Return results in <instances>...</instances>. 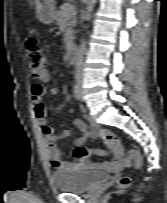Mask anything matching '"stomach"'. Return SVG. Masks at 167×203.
Segmentation results:
<instances>
[{
	"instance_id": "stomach-1",
	"label": "stomach",
	"mask_w": 167,
	"mask_h": 203,
	"mask_svg": "<svg viewBox=\"0 0 167 203\" xmlns=\"http://www.w3.org/2000/svg\"><path fill=\"white\" fill-rule=\"evenodd\" d=\"M55 0H34L38 19L44 24L52 23L56 18Z\"/></svg>"
}]
</instances>
